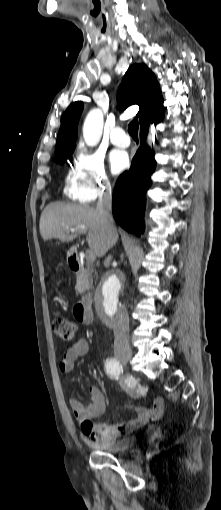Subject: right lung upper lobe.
Masks as SVG:
<instances>
[{
	"label": "right lung upper lobe",
	"mask_w": 221,
	"mask_h": 510,
	"mask_svg": "<svg viewBox=\"0 0 221 510\" xmlns=\"http://www.w3.org/2000/svg\"><path fill=\"white\" fill-rule=\"evenodd\" d=\"M118 103L126 108L139 105L137 117L141 127L163 117V98L155 75L145 64H134L127 70L118 91ZM83 110L80 101L65 111L58 133L55 156L75 148L78 120Z\"/></svg>",
	"instance_id": "1"
}]
</instances>
